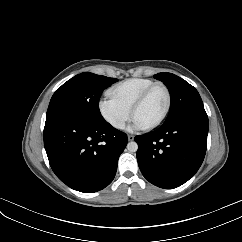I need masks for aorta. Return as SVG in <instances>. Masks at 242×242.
<instances>
[{"instance_id":"1","label":"aorta","mask_w":242,"mask_h":242,"mask_svg":"<svg viewBox=\"0 0 242 242\" xmlns=\"http://www.w3.org/2000/svg\"><path fill=\"white\" fill-rule=\"evenodd\" d=\"M127 149L129 152H136L138 150V144L134 141L127 144Z\"/></svg>"}]
</instances>
